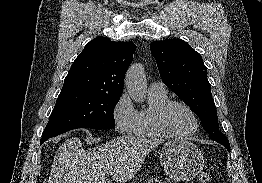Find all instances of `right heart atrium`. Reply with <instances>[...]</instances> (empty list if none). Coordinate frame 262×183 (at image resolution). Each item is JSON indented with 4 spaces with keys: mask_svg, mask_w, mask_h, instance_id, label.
Masks as SVG:
<instances>
[{
    "mask_svg": "<svg viewBox=\"0 0 262 183\" xmlns=\"http://www.w3.org/2000/svg\"><path fill=\"white\" fill-rule=\"evenodd\" d=\"M137 110L134 108L127 92H123L112 108V119L119 134L129 135L134 132Z\"/></svg>",
    "mask_w": 262,
    "mask_h": 183,
    "instance_id": "d8ad5b80",
    "label": "right heart atrium"
}]
</instances>
